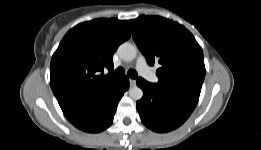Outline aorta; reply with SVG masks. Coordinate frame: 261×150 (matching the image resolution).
<instances>
[{"label": "aorta", "mask_w": 261, "mask_h": 150, "mask_svg": "<svg viewBox=\"0 0 261 150\" xmlns=\"http://www.w3.org/2000/svg\"><path fill=\"white\" fill-rule=\"evenodd\" d=\"M118 54L124 61H132L137 55V50L131 43L125 42L118 47ZM129 96L133 100H140L143 96V91L138 86H134L129 90Z\"/></svg>", "instance_id": "1"}]
</instances>
